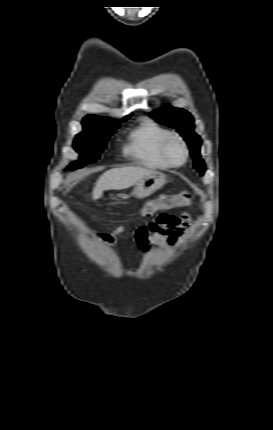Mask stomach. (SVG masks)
<instances>
[{
  "instance_id": "0dacf381",
  "label": "stomach",
  "mask_w": 273,
  "mask_h": 430,
  "mask_svg": "<svg viewBox=\"0 0 273 430\" xmlns=\"http://www.w3.org/2000/svg\"><path fill=\"white\" fill-rule=\"evenodd\" d=\"M166 182V177L163 173L153 171L149 175L144 176L135 184L133 194L137 198H145L153 194L161 188Z\"/></svg>"
}]
</instances>
